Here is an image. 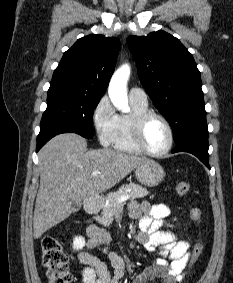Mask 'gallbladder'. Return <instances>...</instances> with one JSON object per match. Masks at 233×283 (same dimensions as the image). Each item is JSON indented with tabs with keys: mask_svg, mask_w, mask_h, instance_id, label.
<instances>
[{
	"mask_svg": "<svg viewBox=\"0 0 233 283\" xmlns=\"http://www.w3.org/2000/svg\"><path fill=\"white\" fill-rule=\"evenodd\" d=\"M81 205H82L81 203H74L73 204V210L78 211L81 208Z\"/></svg>",
	"mask_w": 233,
	"mask_h": 283,
	"instance_id": "1",
	"label": "gallbladder"
}]
</instances>
